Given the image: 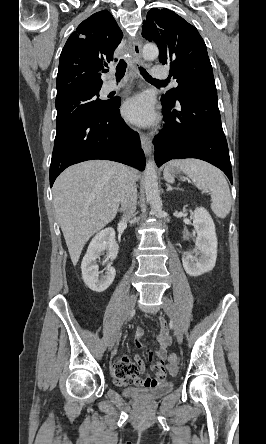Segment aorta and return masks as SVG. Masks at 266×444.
I'll return each instance as SVG.
<instances>
[{"mask_svg": "<svg viewBox=\"0 0 266 444\" xmlns=\"http://www.w3.org/2000/svg\"><path fill=\"white\" fill-rule=\"evenodd\" d=\"M142 55L146 60H154L159 56L158 47L154 44H146L142 49ZM144 183L146 198L150 203L152 212L157 216L162 215V200L158 190L157 171L154 159H150L146 163Z\"/></svg>", "mask_w": 266, "mask_h": 444, "instance_id": "aorta-1", "label": "aorta"}]
</instances>
